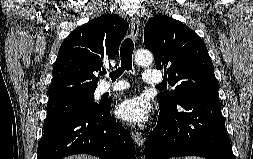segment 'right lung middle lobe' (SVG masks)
I'll list each match as a JSON object with an SVG mask.
<instances>
[{
	"label": "right lung middle lobe",
	"instance_id": "obj_1",
	"mask_svg": "<svg viewBox=\"0 0 253 159\" xmlns=\"http://www.w3.org/2000/svg\"><path fill=\"white\" fill-rule=\"evenodd\" d=\"M93 94L94 92H86L49 100L44 129L78 111L98 109L102 105V102L99 104L95 103Z\"/></svg>",
	"mask_w": 253,
	"mask_h": 159
}]
</instances>
